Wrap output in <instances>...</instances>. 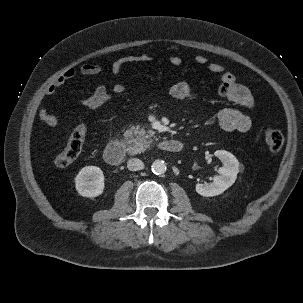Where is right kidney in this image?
<instances>
[{
  "label": "right kidney",
  "instance_id": "ca27d5eb",
  "mask_svg": "<svg viewBox=\"0 0 303 303\" xmlns=\"http://www.w3.org/2000/svg\"><path fill=\"white\" fill-rule=\"evenodd\" d=\"M77 192L83 197H97L105 188L102 170L96 166L82 168L75 178Z\"/></svg>",
  "mask_w": 303,
  "mask_h": 303
}]
</instances>
